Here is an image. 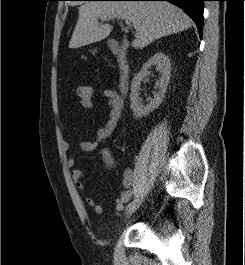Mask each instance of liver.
Here are the masks:
<instances>
[{
	"mask_svg": "<svg viewBox=\"0 0 245 265\" xmlns=\"http://www.w3.org/2000/svg\"><path fill=\"white\" fill-rule=\"evenodd\" d=\"M102 16L130 21L136 30L132 42L136 49H142L154 40L192 26L189 16L169 2L91 1L79 8L69 48L77 49L105 39L112 26L99 25L98 18Z\"/></svg>",
	"mask_w": 245,
	"mask_h": 265,
	"instance_id": "obj_1",
	"label": "liver"
}]
</instances>
